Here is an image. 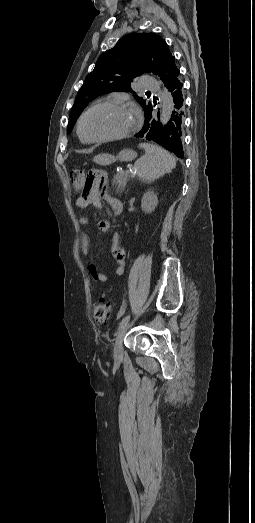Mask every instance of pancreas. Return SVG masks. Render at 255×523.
Wrapping results in <instances>:
<instances>
[{
	"label": "pancreas",
	"mask_w": 255,
	"mask_h": 523,
	"mask_svg": "<svg viewBox=\"0 0 255 523\" xmlns=\"http://www.w3.org/2000/svg\"><path fill=\"white\" fill-rule=\"evenodd\" d=\"M128 176H129V173H124V172H117L116 176H114L112 186H115V190H116L117 194H119V192H123V190L128 182Z\"/></svg>",
	"instance_id": "pancreas-1"
}]
</instances>
